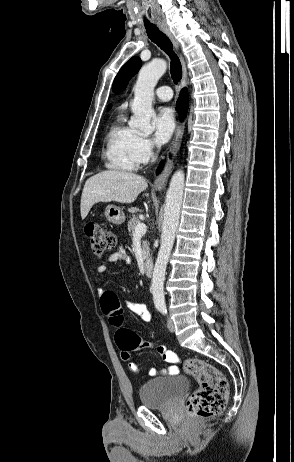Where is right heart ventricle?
Instances as JSON below:
<instances>
[{"instance_id": "1", "label": "right heart ventricle", "mask_w": 294, "mask_h": 462, "mask_svg": "<svg viewBox=\"0 0 294 462\" xmlns=\"http://www.w3.org/2000/svg\"><path fill=\"white\" fill-rule=\"evenodd\" d=\"M135 135V130L124 123L121 115L118 116L105 136L103 160L108 169L133 171L137 168L133 150Z\"/></svg>"}]
</instances>
